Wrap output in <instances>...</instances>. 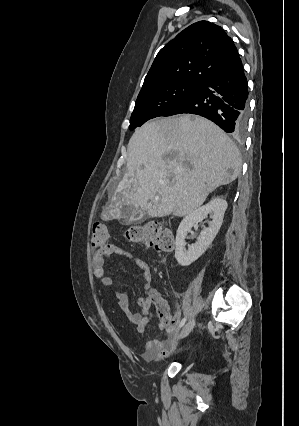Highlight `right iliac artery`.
Wrapping results in <instances>:
<instances>
[{"label": "right iliac artery", "instance_id": "82829eb1", "mask_svg": "<svg viewBox=\"0 0 299 426\" xmlns=\"http://www.w3.org/2000/svg\"><path fill=\"white\" fill-rule=\"evenodd\" d=\"M186 321H187V317H184L179 324V328H181L185 324Z\"/></svg>", "mask_w": 299, "mask_h": 426}]
</instances>
